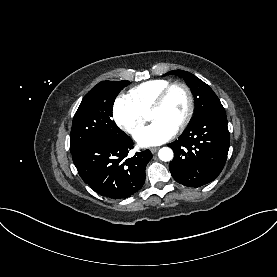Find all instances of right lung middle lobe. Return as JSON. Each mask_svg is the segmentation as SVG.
<instances>
[{
	"label": "right lung middle lobe",
	"mask_w": 277,
	"mask_h": 277,
	"mask_svg": "<svg viewBox=\"0 0 277 277\" xmlns=\"http://www.w3.org/2000/svg\"><path fill=\"white\" fill-rule=\"evenodd\" d=\"M129 84V81H102L84 96L73 118L71 152L96 139L127 136L111 117L115 98Z\"/></svg>",
	"instance_id": "right-lung-middle-lobe-1"
}]
</instances>
